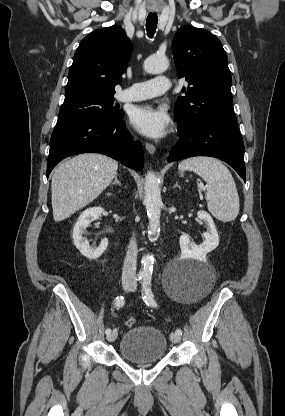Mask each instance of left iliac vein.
Masks as SVG:
<instances>
[{"instance_id":"left-iliac-vein-1","label":"left iliac vein","mask_w":285,"mask_h":416,"mask_svg":"<svg viewBox=\"0 0 285 416\" xmlns=\"http://www.w3.org/2000/svg\"><path fill=\"white\" fill-rule=\"evenodd\" d=\"M136 288H137V285L136 284H133V285H131L130 286V288H129V290L130 291H135L136 290ZM180 335H178V334H175V333H171L170 334V340L174 343V344H177V343H179L180 342Z\"/></svg>"}]
</instances>
